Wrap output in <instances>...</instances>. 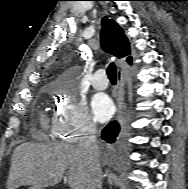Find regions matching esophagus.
<instances>
[{
    "instance_id": "1",
    "label": "esophagus",
    "mask_w": 188,
    "mask_h": 189,
    "mask_svg": "<svg viewBox=\"0 0 188 189\" xmlns=\"http://www.w3.org/2000/svg\"><path fill=\"white\" fill-rule=\"evenodd\" d=\"M117 112H116V120H120L122 117V108H121V98H120V94H118L117 96Z\"/></svg>"
}]
</instances>
